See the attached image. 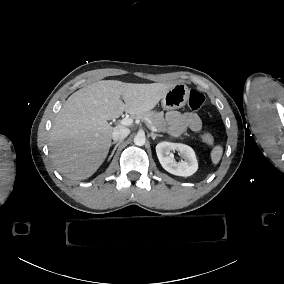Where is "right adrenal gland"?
Wrapping results in <instances>:
<instances>
[{
  "label": "right adrenal gland",
  "instance_id": "2a0ac1e0",
  "mask_svg": "<svg viewBox=\"0 0 284 284\" xmlns=\"http://www.w3.org/2000/svg\"><path fill=\"white\" fill-rule=\"evenodd\" d=\"M121 142H122V141H119V142L114 141V142L111 143V145H114V144H116V145H115V147H114V149H113V151H112V153H111L109 159L112 158V156L114 155V153H115L117 147L121 144Z\"/></svg>",
  "mask_w": 284,
  "mask_h": 284
}]
</instances>
